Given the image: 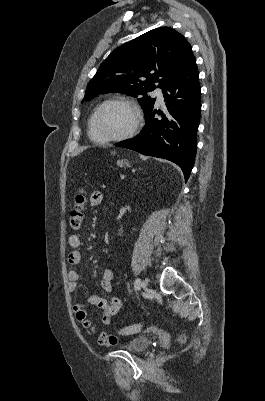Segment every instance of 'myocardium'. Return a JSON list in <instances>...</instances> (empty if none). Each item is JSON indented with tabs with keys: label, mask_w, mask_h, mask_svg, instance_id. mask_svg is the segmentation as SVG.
<instances>
[{
	"label": "myocardium",
	"mask_w": 265,
	"mask_h": 401,
	"mask_svg": "<svg viewBox=\"0 0 265 401\" xmlns=\"http://www.w3.org/2000/svg\"><path fill=\"white\" fill-rule=\"evenodd\" d=\"M116 104H123L132 109V111L134 112V121H133L132 126L125 133H123L119 136H115V137H111V138H107V139L97 138L95 135L96 121L98 120L100 114L107 107H109L111 105H116ZM142 119H143L142 112H141L140 108L138 107V105L134 101H132L130 99H126V98H117V99L107 100L98 107V109L95 111L94 115L92 116V118L90 120V124H89V134H90L92 140L97 143L122 141L124 139L131 137L138 130V128L142 122Z\"/></svg>",
	"instance_id": "1"
}]
</instances>
